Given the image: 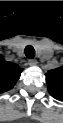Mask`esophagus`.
I'll return each mask as SVG.
<instances>
[{"mask_svg":"<svg viewBox=\"0 0 63 123\" xmlns=\"http://www.w3.org/2000/svg\"><path fill=\"white\" fill-rule=\"evenodd\" d=\"M28 64H29L30 66H36V65H37V61H36L35 59H30V60L28 61Z\"/></svg>","mask_w":63,"mask_h":123,"instance_id":"esophagus-1","label":"esophagus"}]
</instances>
